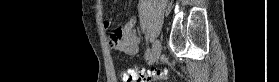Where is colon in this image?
<instances>
[{
	"label": "colon",
	"instance_id": "colon-1",
	"mask_svg": "<svg viewBox=\"0 0 279 82\" xmlns=\"http://www.w3.org/2000/svg\"><path fill=\"white\" fill-rule=\"evenodd\" d=\"M163 70H137L135 68L123 69L121 71L122 82H154L165 75Z\"/></svg>",
	"mask_w": 279,
	"mask_h": 82
}]
</instances>
